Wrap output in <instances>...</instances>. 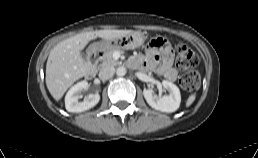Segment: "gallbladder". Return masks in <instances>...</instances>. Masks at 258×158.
Returning <instances> with one entry per match:
<instances>
[{"instance_id": "bac80fb5", "label": "gallbladder", "mask_w": 258, "mask_h": 158, "mask_svg": "<svg viewBox=\"0 0 258 158\" xmlns=\"http://www.w3.org/2000/svg\"><path fill=\"white\" fill-rule=\"evenodd\" d=\"M81 56H82V58H83L84 60H86V57H87V56H86V54H85L84 52L81 53Z\"/></svg>"}]
</instances>
